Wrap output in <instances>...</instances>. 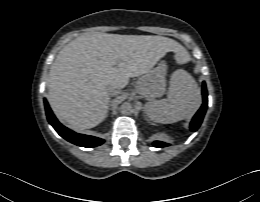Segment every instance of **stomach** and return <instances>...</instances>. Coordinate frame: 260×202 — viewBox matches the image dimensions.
<instances>
[{
  "label": "stomach",
  "instance_id": "obj_1",
  "mask_svg": "<svg viewBox=\"0 0 260 202\" xmlns=\"http://www.w3.org/2000/svg\"><path fill=\"white\" fill-rule=\"evenodd\" d=\"M167 65L161 62L156 68L149 70L137 82V92L147 100H154L165 91V75Z\"/></svg>",
  "mask_w": 260,
  "mask_h": 202
}]
</instances>
